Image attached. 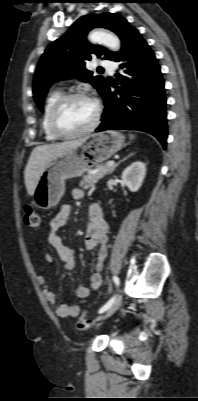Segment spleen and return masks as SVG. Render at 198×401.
<instances>
[{"label": "spleen", "mask_w": 198, "mask_h": 401, "mask_svg": "<svg viewBox=\"0 0 198 401\" xmlns=\"http://www.w3.org/2000/svg\"><path fill=\"white\" fill-rule=\"evenodd\" d=\"M130 138L133 139V138H134V135H130Z\"/></svg>", "instance_id": "1"}]
</instances>
